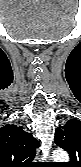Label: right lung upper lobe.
<instances>
[{"mask_svg": "<svg viewBox=\"0 0 81 167\" xmlns=\"http://www.w3.org/2000/svg\"><path fill=\"white\" fill-rule=\"evenodd\" d=\"M38 140L20 127L8 124L0 128V167H35Z\"/></svg>", "mask_w": 81, "mask_h": 167, "instance_id": "obj_1", "label": "right lung upper lobe"}]
</instances>
